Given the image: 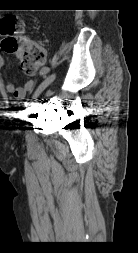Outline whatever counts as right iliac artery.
Here are the masks:
<instances>
[{"mask_svg":"<svg viewBox=\"0 0 138 253\" xmlns=\"http://www.w3.org/2000/svg\"><path fill=\"white\" fill-rule=\"evenodd\" d=\"M50 71H51V68H49V67H42L41 71H40V74H39V77L43 78L44 75H49Z\"/></svg>","mask_w":138,"mask_h":253,"instance_id":"right-iliac-artery-1","label":"right iliac artery"}]
</instances>
